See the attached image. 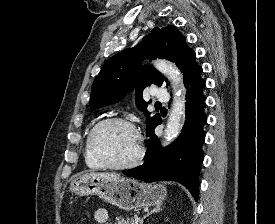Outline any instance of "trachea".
<instances>
[{"label": "trachea", "mask_w": 275, "mask_h": 224, "mask_svg": "<svg viewBox=\"0 0 275 224\" xmlns=\"http://www.w3.org/2000/svg\"><path fill=\"white\" fill-rule=\"evenodd\" d=\"M158 105H162L161 103H157Z\"/></svg>", "instance_id": "trachea-1"}]
</instances>
